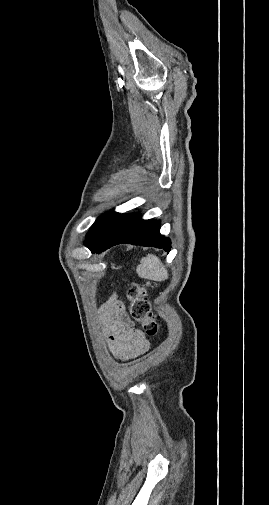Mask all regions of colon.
I'll return each mask as SVG.
<instances>
[{"instance_id": "colon-1", "label": "colon", "mask_w": 269, "mask_h": 505, "mask_svg": "<svg viewBox=\"0 0 269 505\" xmlns=\"http://www.w3.org/2000/svg\"><path fill=\"white\" fill-rule=\"evenodd\" d=\"M127 296L129 303L130 317L140 324L143 331L148 336H155L159 333L160 324L157 316L153 313L151 304L147 298V287L133 283L129 286Z\"/></svg>"}]
</instances>
